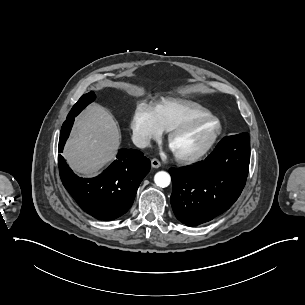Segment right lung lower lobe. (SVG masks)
Returning <instances> with one entry per match:
<instances>
[{"label":"right lung lower lobe","instance_id":"98d812e1","mask_svg":"<svg viewBox=\"0 0 305 305\" xmlns=\"http://www.w3.org/2000/svg\"><path fill=\"white\" fill-rule=\"evenodd\" d=\"M78 115V114H77ZM76 112L70 111L63 123L58 151L62 152L72 128ZM59 173L64 187L77 204L99 220H113L132 206L137 189L150 170V160L134 149H121L115 160L95 178H80L59 155Z\"/></svg>","mask_w":305,"mask_h":305}]
</instances>
